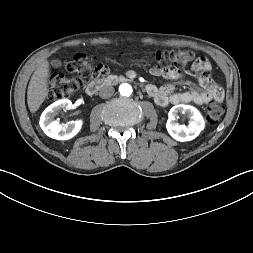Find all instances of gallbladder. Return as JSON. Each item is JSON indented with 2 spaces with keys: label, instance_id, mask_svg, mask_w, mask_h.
Segmentation results:
<instances>
[{
  "label": "gallbladder",
  "instance_id": "1",
  "mask_svg": "<svg viewBox=\"0 0 253 253\" xmlns=\"http://www.w3.org/2000/svg\"><path fill=\"white\" fill-rule=\"evenodd\" d=\"M52 66L55 68H59L62 66V62L59 59H54L51 62Z\"/></svg>",
  "mask_w": 253,
  "mask_h": 253
}]
</instances>
